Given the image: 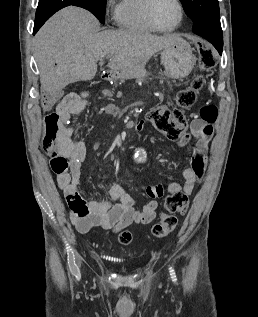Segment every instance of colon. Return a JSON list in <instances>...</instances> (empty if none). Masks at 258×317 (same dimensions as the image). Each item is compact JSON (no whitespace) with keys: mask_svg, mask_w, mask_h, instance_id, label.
<instances>
[{"mask_svg":"<svg viewBox=\"0 0 258 317\" xmlns=\"http://www.w3.org/2000/svg\"><path fill=\"white\" fill-rule=\"evenodd\" d=\"M216 64V55L209 48H202L199 51V65L204 71L212 69ZM204 80L197 77L193 84L182 90L177 97L178 107L167 108L158 106L151 109L147 114V119L151 122L155 130L164 134L172 140L180 139L186 131V118L182 111L189 108L196 101L197 92L202 88ZM46 105L50 106L53 99L46 100ZM200 119L207 123L215 122L218 110L214 105H204L200 109ZM67 125L64 116L57 109L50 112L45 118V129L43 135L44 150L52 154L59 152L65 138ZM189 200L187 194L176 192L168 195L164 201V207L160 215V221L152 228V233L158 238L166 237L177 225L175 214L184 215L188 209ZM132 240L130 232H122L119 241L123 245H128Z\"/></svg>","mask_w":258,"mask_h":317,"instance_id":"colon-1","label":"colon"}]
</instances>
